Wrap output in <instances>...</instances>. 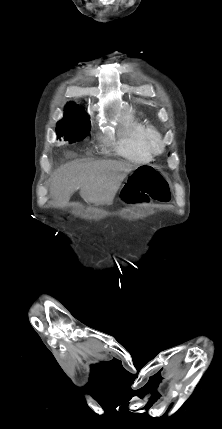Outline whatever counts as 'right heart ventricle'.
<instances>
[{
	"label": "right heart ventricle",
	"instance_id": "right-heart-ventricle-1",
	"mask_svg": "<svg viewBox=\"0 0 222 429\" xmlns=\"http://www.w3.org/2000/svg\"><path fill=\"white\" fill-rule=\"evenodd\" d=\"M119 122L121 135L115 143L116 152L133 162L151 161L152 156L144 146V137L149 127L131 109L120 112Z\"/></svg>",
	"mask_w": 222,
	"mask_h": 429
}]
</instances>
